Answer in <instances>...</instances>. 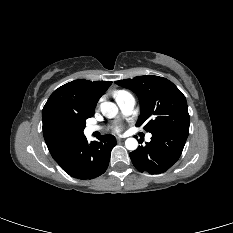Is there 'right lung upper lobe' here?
Masks as SVG:
<instances>
[{"label":"right lung upper lobe","mask_w":233,"mask_h":233,"mask_svg":"<svg viewBox=\"0 0 233 233\" xmlns=\"http://www.w3.org/2000/svg\"><path fill=\"white\" fill-rule=\"evenodd\" d=\"M111 81L75 80L56 89L42 111L43 135L52 156L84 136L85 120L92 117L99 98Z\"/></svg>","instance_id":"right-lung-upper-lobe-1"}]
</instances>
